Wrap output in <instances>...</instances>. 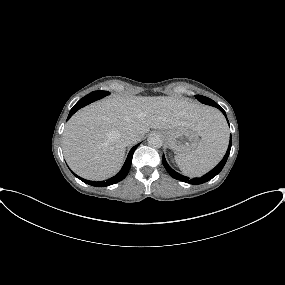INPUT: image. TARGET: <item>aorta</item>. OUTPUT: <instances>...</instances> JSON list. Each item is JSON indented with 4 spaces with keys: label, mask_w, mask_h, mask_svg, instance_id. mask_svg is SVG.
Returning <instances> with one entry per match:
<instances>
[{
    "label": "aorta",
    "mask_w": 285,
    "mask_h": 285,
    "mask_svg": "<svg viewBox=\"0 0 285 285\" xmlns=\"http://www.w3.org/2000/svg\"><path fill=\"white\" fill-rule=\"evenodd\" d=\"M147 141L148 144L154 148H160L163 144L161 136L156 133L150 134Z\"/></svg>",
    "instance_id": "aorta-1"
}]
</instances>
